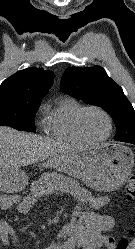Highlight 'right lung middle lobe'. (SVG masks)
Returning <instances> with one entry per match:
<instances>
[{"label": "right lung middle lobe", "mask_w": 135, "mask_h": 249, "mask_svg": "<svg viewBox=\"0 0 135 249\" xmlns=\"http://www.w3.org/2000/svg\"><path fill=\"white\" fill-rule=\"evenodd\" d=\"M41 101L19 96L0 95V125L19 131L36 132L34 117Z\"/></svg>", "instance_id": "right-lung-middle-lobe-1"}]
</instances>
